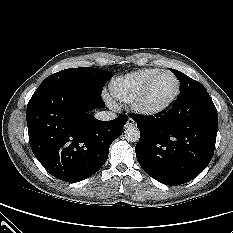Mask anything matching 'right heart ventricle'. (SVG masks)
Listing matches in <instances>:
<instances>
[{
	"instance_id": "obj_1",
	"label": "right heart ventricle",
	"mask_w": 233,
	"mask_h": 233,
	"mask_svg": "<svg viewBox=\"0 0 233 233\" xmlns=\"http://www.w3.org/2000/svg\"><path fill=\"white\" fill-rule=\"evenodd\" d=\"M160 70L159 68H144L114 78L109 84V92L120 102H131L148 79Z\"/></svg>"
}]
</instances>
